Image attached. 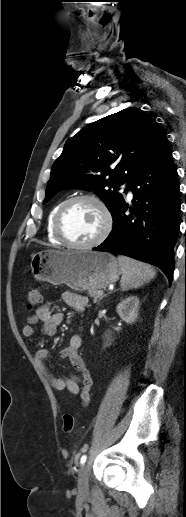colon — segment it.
I'll list each match as a JSON object with an SVG mask.
<instances>
[{"instance_id": "obj_1", "label": "colon", "mask_w": 186, "mask_h": 517, "mask_svg": "<svg viewBox=\"0 0 186 517\" xmlns=\"http://www.w3.org/2000/svg\"><path fill=\"white\" fill-rule=\"evenodd\" d=\"M42 303V296L37 288H32L29 290L26 305L29 309H33L39 306ZM75 426V417L71 413H66L63 416V431L65 433H70L74 429Z\"/></svg>"}]
</instances>
